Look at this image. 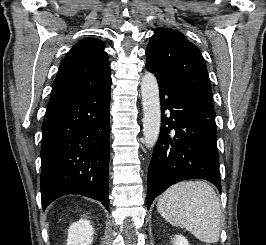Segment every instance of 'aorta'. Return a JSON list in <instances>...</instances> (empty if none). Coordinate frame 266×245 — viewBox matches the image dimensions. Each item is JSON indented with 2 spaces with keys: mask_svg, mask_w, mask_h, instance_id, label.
I'll return each mask as SVG.
<instances>
[{
  "mask_svg": "<svg viewBox=\"0 0 266 245\" xmlns=\"http://www.w3.org/2000/svg\"><path fill=\"white\" fill-rule=\"evenodd\" d=\"M141 96L145 147L152 149L158 141L161 125L159 86L153 72H144L141 80Z\"/></svg>",
  "mask_w": 266,
  "mask_h": 245,
  "instance_id": "aorta-1",
  "label": "aorta"
}]
</instances>
